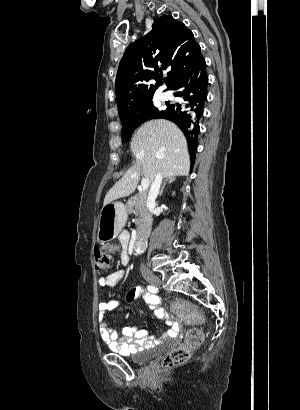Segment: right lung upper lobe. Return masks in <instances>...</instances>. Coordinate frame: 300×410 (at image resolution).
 Masks as SVG:
<instances>
[{"label": "right lung upper lobe", "instance_id": "1", "mask_svg": "<svg viewBox=\"0 0 300 410\" xmlns=\"http://www.w3.org/2000/svg\"><path fill=\"white\" fill-rule=\"evenodd\" d=\"M202 57L193 33L172 16H162L152 31L125 51L116 76V98L121 122L136 117L163 79L171 90L176 80ZM157 81L152 84V81ZM195 152H191V158Z\"/></svg>", "mask_w": 300, "mask_h": 410}]
</instances>
